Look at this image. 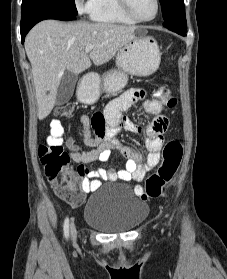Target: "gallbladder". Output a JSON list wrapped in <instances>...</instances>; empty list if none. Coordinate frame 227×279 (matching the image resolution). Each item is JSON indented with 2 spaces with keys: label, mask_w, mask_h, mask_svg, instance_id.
Segmentation results:
<instances>
[{
  "label": "gallbladder",
  "mask_w": 227,
  "mask_h": 279,
  "mask_svg": "<svg viewBox=\"0 0 227 279\" xmlns=\"http://www.w3.org/2000/svg\"><path fill=\"white\" fill-rule=\"evenodd\" d=\"M77 80H78L77 74H74L69 71L64 72L57 91V96H56L57 105H63L71 99L74 93Z\"/></svg>",
  "instance_id": "bac80fb5"
}]
</instances>
